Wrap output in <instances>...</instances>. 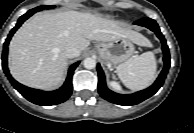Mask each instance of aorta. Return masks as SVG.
<instances>
[{
    "label": "aorta",
    "mask_w": 194,
    "mask_h": 133,
    "mask_svg": "<svg viewBox=\"0 0 194 133\" xmlns=\"http://www.w3.org/2000/svg\"><path fill=\"white\" fill-rule=\"evenodd\" d=\"M83 65L87 69H93L96 67V60L92 57H88L83 61Z\"/></svg>",
    "instance_id": "762f6f07"
}]
</instances>
